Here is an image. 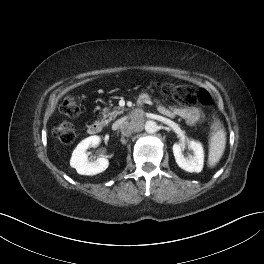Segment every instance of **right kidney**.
<instances>
[{
  "instance_id": "1",
  "label": "right kidney",
  "mask_w": 264,
  "mask_h": 264,
  "mask_svg": "<svg viewBox=\"0 0 264 264\" xmlns=\"http://www.w3.org/2000/svg\"><path fill=\"white\" fill-rule=\"evenodd\" d=\"M100 142L99 136H90L82 140L72 153L70 165L80 175H96L105 171L109 166L107 158H98L95 162H89L86 150L96 147Z\"/></svg>"
}]
</instances>
